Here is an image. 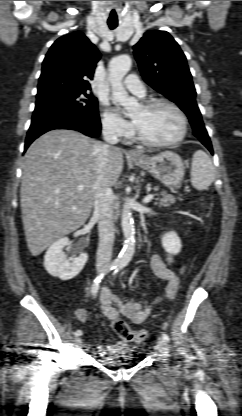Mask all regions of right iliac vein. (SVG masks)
Segmentation results:
<instances>
[{
  "mask_svg": "<svg viewBox=\"0 0 242 416\" xmlns=\"http://www.w3.org/2000/svg\"><path fill=\"white\" fill-rule=\"evenodd\" d=\"M82 340L80 337L75 338V346H79L81 344Z\"/></svg>",
  "mask_w": 242,
  "mask_h": 416,
  "instance_id": "obj_1",
  "label": "right iliac vein"
}]
</instances>
